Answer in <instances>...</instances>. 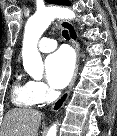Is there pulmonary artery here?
Here are the masks:
<instances>
[{"instance_id": "obj_1", "label": "pulmonary artery", "mask_w": 117, "mask_h": 136, "mask_svg": "<svg viewBox=\"0 0 117 136\" xmlns=\"http://www.w3.org/2000/svg\"><path fill=\"white\" fill-rule=\"evenodd\" d=\"M57 46V41L51 37L42 38L38 44L39 51L43 53L53 51Z\"/></svg>"}]
</instances>
